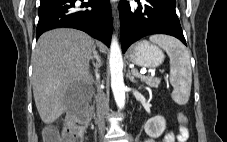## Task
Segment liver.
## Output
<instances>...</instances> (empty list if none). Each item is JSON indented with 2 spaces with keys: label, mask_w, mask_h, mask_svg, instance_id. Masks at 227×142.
<instances>
[{
  "label": "liver",
  "mask_w": 227,
  "mask_h": 142,
  "mask_svg": "<svg viewBox=\"0 0 227 142\" xmlns=\"http://www.w3.org/2000/svg\"><path fill=\"white\" fill-rule=\"evenodd\" d=\"M95 47L91 36L76 29H54L39 37L32 55V87L45 124L55 122L68 110L81 85H92L89 61Z\"/></svg>",
  "instance_id": "obj_1"
}]
</instances>
